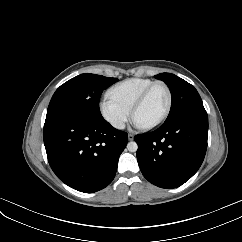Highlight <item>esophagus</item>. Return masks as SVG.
Returning <instances> with one entry per match:
<instances>
[{"instance_id": "obj_1", "label": "esophagus", "mask_w": 242, "mask_h": 242, "mask_svg": "<svg viewBox=\"0 0 242 242\" xmlns=\"http://www.w3.org/2000/svg\"><path fill=\"white\" fill-rule=\"evenodd\" d=\"M128 139H129L130 141H132V140L134 139V135H133V134H129V135H128Z\"/></svg>"}]
</instances>
